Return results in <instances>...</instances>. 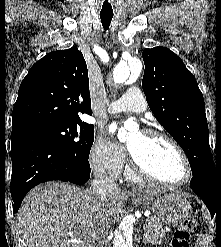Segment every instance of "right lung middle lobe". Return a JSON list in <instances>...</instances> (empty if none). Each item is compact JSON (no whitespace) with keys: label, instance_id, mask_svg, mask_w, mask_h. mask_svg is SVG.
<instances>
[{"label":"right lung middle lobe","instance_id":"obj_1","mask_svg":"<svg viewBox=\"0 0 221 247\" xmlns=\"http://www.w3.org/2000/svg\"><path fill=\"white\" fill-rule=\"evenodd\" d=\"M16 132L51 141L67 153L88 160L94 141V126L82 121L48 122L22 127Z\"/></svg>","mask_w":221,"mask_h":247}]
</instances>
